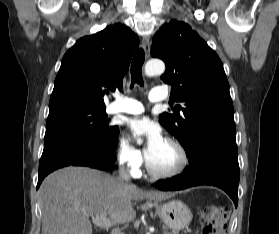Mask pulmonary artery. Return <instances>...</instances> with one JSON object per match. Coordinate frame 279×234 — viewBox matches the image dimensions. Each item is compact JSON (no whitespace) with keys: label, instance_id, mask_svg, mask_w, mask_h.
Instances as JSON below:
<instances>
[{"label":"pulmonary artery","instance_id":"1","mask_svg":"<svg viewBox=\"0 0 279 234\" xmlns=\"http://www.w3.org/2000/svg\"><path fill=\"white\" fill-rule=\"evenodd\" d=\"M168 98L166 91L156 89L149 94V100L151 102H161ZM109 112L111 113H126V114H140L144 111L143 104L133 98L121 97L109 106Z\"/></svg>","mask_w":279,"mask_h":234}]
</instances>
